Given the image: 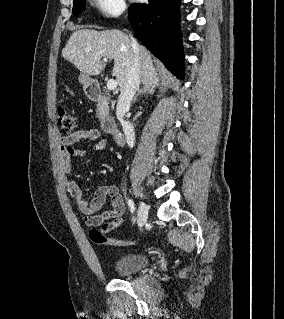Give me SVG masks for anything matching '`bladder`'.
Listing matches in <instances>:
<instances>
[{"mask_svg": "<svg viewBox=\"0 0 284 319\" xmlns=\"http://www.w3.org/2000/svg\"><path fill=\"white\" fill-rule=\"evenodd\" d=\"M151 262L144 253H126L117 257L113 262V270L120 276H130L147 267Z\"/></svg>", "mask_w": 284, "mask_h": 319, "instance_id": "obj_1", "label": "bladder"}]
</instances>
